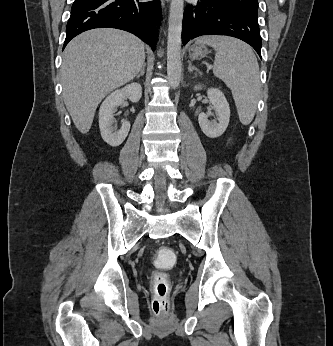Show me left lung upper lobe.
Instances as JSON below:
<instances>
[{"instance_id":"left-lung-upper-lobe-1","label":"left lung upper lobe","mask_w":333,"mask_h":346,"mask_svg":"<svg viewBox=\"0 0 333 346\" xmlns=\"http://www.w3.org/2000/svg\"><path fill=\"white\" fill-rule=\"evenodd\" d=\"M234 8L243 9L253 15H257L258 1L257 0H226Z\"/></svg>"}]
</instances>
